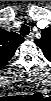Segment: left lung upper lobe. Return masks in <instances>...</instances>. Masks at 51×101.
I'll list each match as a JSON object with an SVG mask.
<instances>
[{
  "mask_svg": "<svg viewBox=\"0 0 51 101\" xmlns=\"http://www.w3.org/2000/svg\"><path fill=\"white\" fill-rule=\"evenodd\" d=\"M41 35L40 39L35 40V44L42 49L45 57L51 61V27L43 29Z\"/></svg>",
  "mask_w": 51,
  "mask_h": 101,
  "instance_id": "obj_1",
  "label": "left lung upper lobe"
}]
</instances>
